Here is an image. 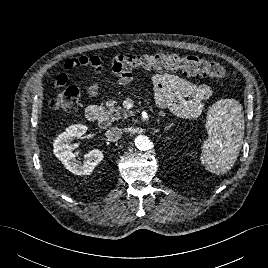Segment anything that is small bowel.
Masks as SVG:
<instances>
[{
	"label": "small bowel",
	"mask_w": 268,
	"mask_h": 268,
	"mask_svg": "<svg viewBox=\"0 0 268 268\" xmlns=\"http://www.w3.org/2000/svg\"><path fill=\"white\" fill-rule=\"evenodd\" d=\"M64 70L70 71L86 67L92 76V82L87 88L90 97L100 92V78L105 71V65L98 56H80L69 59L64 63ZM115 81L119 85H129L134 76L131 70L115 69ZM66 80L61 75L60 81ZM152 87L156 101L166 106L173 114L183 118H196L204 109V104L213 96V89L208 84H197L181 78L173 73H155L152 78Z\"/></svg>",
	"instance_id": "c3829d8e"
}]
</instances>
